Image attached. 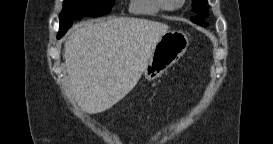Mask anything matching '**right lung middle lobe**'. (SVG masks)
<instances>
[{
  "label": "right lung middle lobe",
  "instance_id": "1",
  "mask_svg": "<svg viewBox=\"0 0 273 144\" xmlns=\"http://www.w3.org/2000/svg\"><path fill=\"white\" fill-rule=\"evenodd\" d=\"M114 0H64L60 14V39L71 27L73 20L83 16L96 17L111 11Z\"/></svg>",
  "mask_w": 273,
  "mask_h": 144
}]
</instances>
